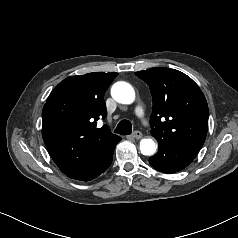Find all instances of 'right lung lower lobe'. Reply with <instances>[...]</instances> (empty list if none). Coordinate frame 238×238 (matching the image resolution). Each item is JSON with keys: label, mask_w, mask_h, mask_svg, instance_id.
<instances>
[{"label": "right lung lower lobe", "mask_w": 238, "mask_h": 238, "mask_svg": "<svg viewBox=\"0 0 238 238\" xmlns=\"http://www.w3.org/2000/svg\"><path fill=\"white\" fill-rule=\"evenodd\" d=\"M115 146H114V148H115ZM114 148L111 151H109L108 155H106L104 157V161L102 162V165L99 168V170L96 171L94 174H92L89 178H87L86 180H83V181H89V180L96 178L98 175H100L102 172H104L110 166V164L112 162V158H113Z\"/></svg>", "instance_id": "obj_1"}]
</instances>
